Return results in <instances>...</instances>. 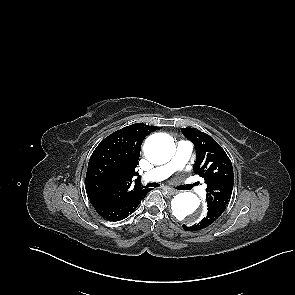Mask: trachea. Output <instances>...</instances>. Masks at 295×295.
<instances>
[{
  "instance_id": "obj_1",
  "label": "trachea",
  "mask_w": 295,
  "mask_h": 295,
  "mask_svg": "<svg viewBox=\"0 0 295 295\" xmlns=\"http://www.w3.org/2000/svg\"><path fill=\"white\" fill-rule=\"evenodd\" d=\"M194 185H196V184H193V185H190V186H188V188L190 189V188H192ZM159 186V184H157V183H148L147 185H146V187L147 188H149V187H158Z\"/></svg>"
}]
</instances>
